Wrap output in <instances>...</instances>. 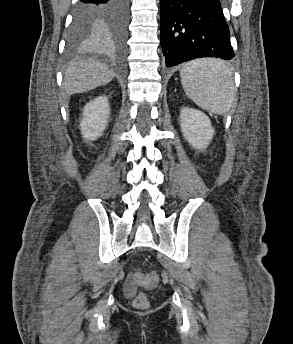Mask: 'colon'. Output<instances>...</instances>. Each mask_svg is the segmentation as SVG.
Instances as JSON below:
<instances>
[{
  "label": "colon",
  "mask_w": 293,
  "mask_h": 344,
  "mask_svg": "<svg viewBox=\"0 0 293 344\" xmlns=\"http://www.w3.org/2000/svg\"><path fill=\"white\" fill-rule=\"evenodd\" d=\"M130 276L133 281H147L150 283H155L157 281L156 274L143 275L141 273L135 272L132 273ZM133 305L137 309H147L149 307V300L147 298V295L143 292L138 293L133 300Z\"/></svg>",
  "instance_id": "colon-1"
}]
</instances>
